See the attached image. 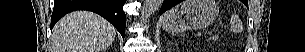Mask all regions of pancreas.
Masks as SVG:
<instances>
[{
	"mask_svg": "<svg viewBox=\"0 0 305 52\" xmlns=\"http://www.w3.org/2000/svg\"><path fill=\"white\" fill-rule=\"evenodd\" d=\"M212 40H214V41H215V40H216V38H212Z\"/></svg>",
	"mask_w": 305,
	"mask_h": 52,
	"instance_id": "obj_1",
	"label": "pancreas"
}]
</instances>
